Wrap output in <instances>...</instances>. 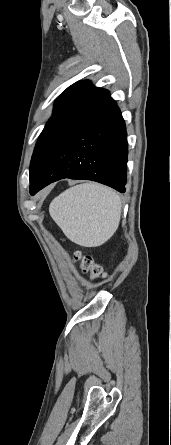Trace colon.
Wrapping results in <instances>:
<instances>
[{
  "label": "colon",
  "instance_id": "obj_1",
  "mask_svg": "<svg viewBox=\"0 0 171 445\" xmlns=\"http://www.w3.org/2000/svg\"><path fill=\"white\" fill-rule=\"evenodd\" d=\"M74 259L80 263L82 269L88 272L92 278L101 279L106 276L103 267L91 255L77 252L74 255Z\"/></svg>",
  "mask_w": 171,
  "mask_h": 445
}]
</instances>
